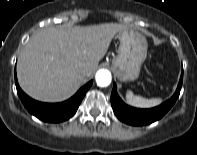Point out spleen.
Instances as JSON below:
<instances>
[{"label":"spleen","mask_w":197,"mask_h":155,"mask_svg":"<svg viewBox=\"0 0 197 155\" xmlns=\"http://www.w3.org/2000/svg\"><path fill=\"white\" fill-rule=\"evenodd\" d=\"M127 103L139 108H150L159 105L162 102L161 98L146 99L141 96H136L131 90L126 93Z\"/></svg>","instance_id":"3e777b00"}]
</instances>
